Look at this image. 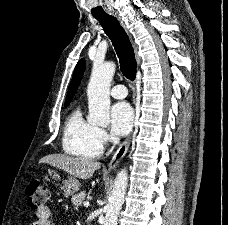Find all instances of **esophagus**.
Segmentation results:
<instances>
[{"label":"esophagus","instance_id":"obj_1","mask_svg":"<svg viewBox=\"0 0 228 225\" xmlns=\"http://www.w3.org/2000/svg\"><path fill=\"white\" fill-rule=\"evenodd\" d=\"M120 20V19H119ZM122 26H124L123 22L120 20ZM134 51L136 55V60L138 66L140 65V57L138 55L137 47L134 45ZM132 140V134L124 140V142L121 143L118 150L114 153L113 157L110 160V163L107 167V172L110 173L114 170V168L117 166V164L122 160V158L126 155V152L129 149L130 143Z\"/></svg>","mask_w":228,"mask_h":225}]
</instances>
